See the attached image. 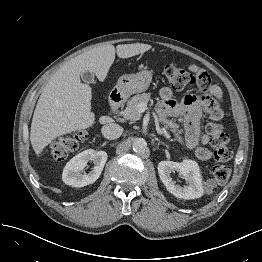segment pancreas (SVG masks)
<instances>
[{
  "label": "pancreas",
  "mask_w": 262,
  "mask_h": 262,
  "mask_svg": "<svg viewBox=\"0 0 262 262\" xmlns=\"http://www.w3.org/2000/svg\"><path fill=\"white\" fill-rule=\"evenodd\" d=\"M150 100V93H143L140 95H135L132 97L128 102H127V107L125 111L123 112V115L126 119L136 121L141 118V113L138 111V104L140 103H145L147 104L148 101ZM160 120L167 124L173 132H176L178 129V125L174 123L172 120L167 119L165 115L160 117ZM199 151V148L195 150L197 153Z\"/></svg>",
  "instance_id": "obj_1"
}]
</instances>
